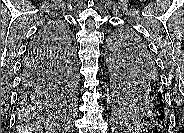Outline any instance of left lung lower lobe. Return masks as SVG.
Masks as SVG:
<instances>
[{"label": "left lung lower lobe", "mask_w": 184, "mask_h": 133, "mask_svg": "<svg viewBox=\"0 0 184 133\" xmlns=\"http://www.w3.org/2000/svg\"><path fill=\"white\" fill-rule=\"evenodd\" d=\"M156 86L159 89H155V88L151 87L150 93L152 94L153 97H155L154 106L158 108V107H162L166 104L165 103L166 102L165 101V92H164L163 86L161 84L160 76H159V80H158ZM122 117H123V119H126V121H128L129 123H130V121L133 122L131 120V118H129L126 115H122ZM153 119L155 121V123H153V124H157V125L164 127V128H169V123H170L169 115H167L164 111L160 110L159 113H157L153 117Z\"/></svg>", "instance_id": "0a47b994"}]
</instances>
